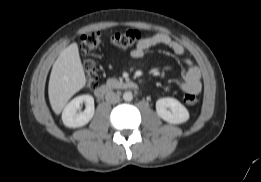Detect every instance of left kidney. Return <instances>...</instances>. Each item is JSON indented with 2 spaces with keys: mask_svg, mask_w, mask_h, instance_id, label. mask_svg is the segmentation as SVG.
<instances>
[{
  "mask_svg": "<svg viewBox=\"0 0 261 182\" xmlns=\"http://www.w3.org/2000/svg\"><path fill=\"white\" fill-rule=\"evenodd\" d=\"M157 115L170 124H181L189 119L184 105L174 98H161L156 102Z\"/></svg>",
  "mask_w": 261,
  "mask_h": 182,
  "instance_id": "left-kidney-1",
  "label": "left kidney"
}]
</instances>
